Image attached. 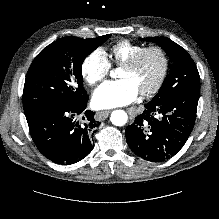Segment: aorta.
<instances>
[{
  "mask_svg": "<svg viewBox=\"0 0 219 219\" xmlns=\"http://www.w3.org/2000/svg\"><path fill=\"white\" fill-rule=\"evenodd\" d=\"M110 75L112 77H114L115 72L111 71ZM127 120H128V115L123 110H115V111L112 112V114L110 116V121L115 126H123L127 123Z\"/></svg>",
  "mask_w": 219,
  "mask_h": 219,
  "instance_id": "obj_1",
  "label": "aorta"
}]
</instances>
